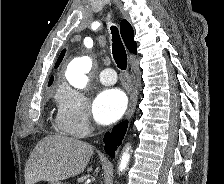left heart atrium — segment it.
Wrapping results in <instances>:
<instances>
[{
    "label": "left heart atrium",
    "instance_id": "39dd6f15",
    "mask_svg": "<svg viewBox=\"0 0 224 184\" xmlns=\"http://www.w3.org/2000/svg\"><path fill=\"white\" fill-rule=\"evenodd\" d=\"M127 99L118 89L102 91L95 99L93 114L97 122L108 125L117 121L124 113Z\"/></svg>",
    "mask_w": 224,
    "mask_h": 184
}]
</instances>
